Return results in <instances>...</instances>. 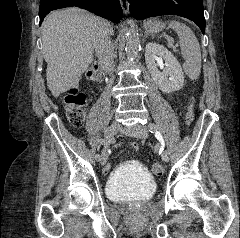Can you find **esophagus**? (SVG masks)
<instances>
[{
	"label": "esophagus",
	"instance_id": "1",
	"mask_svg": "<svg viewBox=\"0 0 240 238\" xmlns=\"http://www.w3.org/2000/svg\"><path fill=\"white\" fill-rule=\"evenodd\" d=\"M120 4L123 10V13L127 15L129 13V2L128 0H120Z\"/></svg>",
	"mask_w": 240,
	"mask_h": 238
}]
</instances>
